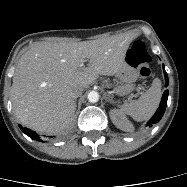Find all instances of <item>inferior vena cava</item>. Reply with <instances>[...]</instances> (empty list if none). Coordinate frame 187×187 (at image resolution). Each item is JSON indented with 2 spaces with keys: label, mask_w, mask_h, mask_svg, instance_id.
<instances>
[{
  "label": "inferior vena cava",
  "mask_w": 187,
  "mask_h": 187,
  "mask_svg": "<svg viewBox=\"0 0 187 187\" xmlns=\"http://www.w3.org/2000/svg\"><path fill=\"white\" fill-rule=\"evenodd\" d=\"M83 92V89L80 87H77L71 91V97L72 98H78Z\"/></svg>",
  "instance_id": "1"
}]
</instances>
